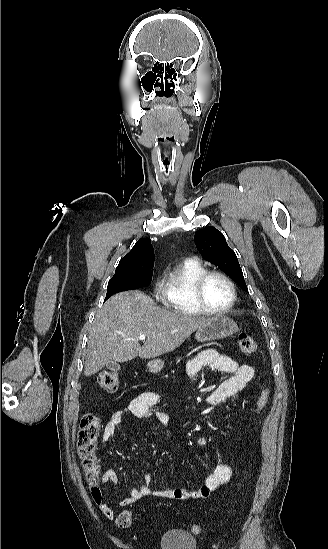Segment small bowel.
<instances>
[{"label": "small bowel", "instance_id": "1", "mask_svg": "<svg viewBox=\"0 0 328 549\" xmlns=\"http://www.w3.org/2000/svg\"><path fill=\"white\" fill-rule=\"evenodd\" d=\"M204 368L230 375L208 395L207 403L213 408L242 391L254 378V368L251 365L239 364L231 357L214 349L202 351L189 360L186 365L187 373L190 376H196ZM159 400L160 395L158 393L154 391L143 392L132 399L127 406L113 412L104 426L102 440L108 441L112 438L120 423L127 417L156 419L167 427V416L156 407ZM168 438L169 433L167 434ZM196 444L200 447H207L208 440L205 437H199ZM232 475L231 466L219 463L206 476L203 484L195 489L165 488L157 489L155 492L159 496L182 501L205 499L229 482ZM117 481L118 476L114 469H109L102 475L101 482L103 485H116ZM143 481L144 484L141 487L130 490L129 495L119 502L121 506L131 505L145 496L154 494L151 487L155 481L154 475L152 473L144 474ZM98 504L106 516L113 517V509L107 502L100 501Z\"/></svg>", "mask_w": 328, "mask_h": 549}]
</instances>
